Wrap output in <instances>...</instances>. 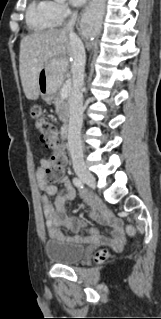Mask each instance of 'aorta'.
Here are the masks:
<instances>
[{"label": "aorta", "mask_w": 161, "mask_h": 319, "mask_svg": "<svg viewBox=\"0 0 161 319\" xmlns=\"http://www.w3.org/2000/svg\"><path fill=\"white\" fill-rule=\"evenodd\" d=\"M90 16L87 15L86 16V21H87V28H88V31L90 33H95L97 31V28H98V25L96 22H93L91 19H89Z\"/></svg>", "instance_id": "762f6f07"}]
</instances>
